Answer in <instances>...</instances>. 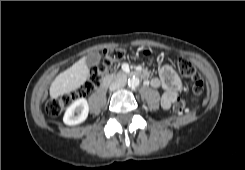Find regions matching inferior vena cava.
Returning <instances> with one entry per match:
<instances>
[{"label":"inferior vena cava","instance_id":"obj_1","mask_svg":"<svg viewBox=\"0 0 245 170\" xmlns=\"http://www.w3.org/2000/svg\"><path fill=\"white\" fill-rule=\"evenodd\" d=\"M125 84H126L125 79L116 80L110 84L109 89H110V91H115V90H118V89L124 87Z\"/></svg>","mask_w":245,"mask_h":170}]
</instances>
